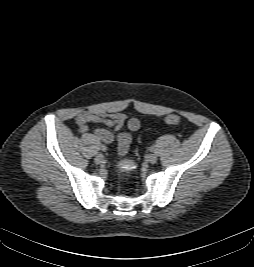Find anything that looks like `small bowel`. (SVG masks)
Listing matches in <instances>:
<instances>
[{"label":"small bowel","instance_id":"small-bowel-1","mask_svg":"<svg viewBox=\"0 0 254 267\" xmlns=\"http://www.w3.org/2000/svg\"><path fill=\"white\" fill-rule=\"evenodd\" d=\"M89 123H100L115 130H120L125 124L130 132H136L140 129L141 123L137 118H129L123 113L102 114L91 111H83L76 117V124L81 133H86L89 130ZM130 132H122L117 137L119 155H125L132 142V135ZM94 134L103 143L110 144L114 141V135L111 131L104 128H98Z\"/></svg>","mask_w":254,"mask_h":267}]
</instances>
